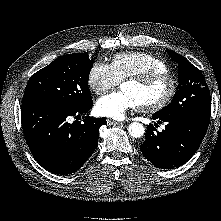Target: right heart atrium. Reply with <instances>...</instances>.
<instances>
[{
	"label": "right heart atrium",
	"mask_w": 221,
	"mask_h": 221,
	"mask_svg": "<svg viewBox=\"0 0 221 221\" xmlns=\"http://www.w3.org/2000/svg\"><path fill=\"white\" fill-rule=\"evenodd\" d=\"M87 81L90 89L98 95L106 93L120 82L111 65L102 61L92 65L88 72Z\"/></svg>",
	"instance_id": "obj_1"
}]
</instances>
